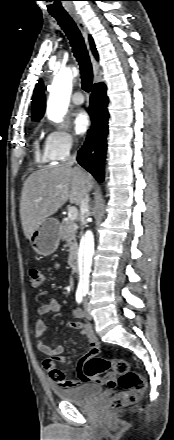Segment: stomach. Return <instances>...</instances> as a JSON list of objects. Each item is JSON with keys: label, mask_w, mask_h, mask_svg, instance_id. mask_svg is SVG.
<instances>
[{"label": "stomach", "mask_w": 174, "mask_h": 440, "mask_svg": "<svg viewBox=\"0 0 174 440\" xmlns=\"http://www.w3.org/2000/svg\"><path fill=\"white\" fill-rule=\"evenodd\" d=\"M60 238L58 220L48 217L31 234L29 240L37 254L46 256L56 251Z\"/></svg>", "instance_id": "1"}]
</instances>
